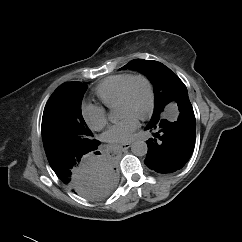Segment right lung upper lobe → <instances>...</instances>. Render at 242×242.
<instances>
[{
    "label": "right lung upper lobe",
    "mask_w": 242,
    "mask_h": 242,
    "mask_svg": "<svg viewBox=\"0 0 242 242\" xmlns=\"http://www.w3.org/2000/svg\"><path fill=\"white\" fill-rule=\"evenodd\" d=\"M76 82H67V83H64L62 84L60 87H58L56 90H62V89H65V88H68L72 85H74Z\"/></svg>",
    "instance_id": "1"
}]
</instances>
